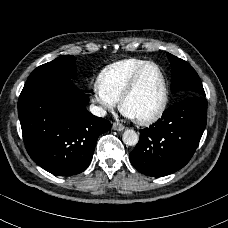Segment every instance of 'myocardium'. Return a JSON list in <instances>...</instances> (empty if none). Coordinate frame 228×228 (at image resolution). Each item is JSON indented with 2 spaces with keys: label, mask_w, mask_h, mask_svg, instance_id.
I'll return each instance as SVG.
<instances>
[{
  "label": "myocardium",
  "mask_w": 228,
  "mask_h": 228,
  "mask_svg": "<svg viewBox=\"0 0 228 228\" xmlns=\"http://www.w3.org/2000/svg\"><path fill=\"white\" fill-rule=\"evenodd\" d=\"M150 68L157 69L159 71L161 77H162L163 92H164L163 103H162L161 107L159 108V110L155 114H153L152 116H149L147 118H141V119L131 117L126 112V103L130 99V97L136 92L143 75ZM168 105H169L168 80H167V77H166V74H165L163 68L159 64L154 63V62L145 65L144 67L140 68L135 73V75L133 76L131 82L129 83V85L127 87V89L125 90L122 97L120 98V110L122 111V113L125 116L132 118L136 123H138L140 125H150V124H153V123L157 122L158 120H160L164 116L165 112L167 111Z\"/></svg>",
  "instance_id": "myocardium-1"
}]
</instances>
